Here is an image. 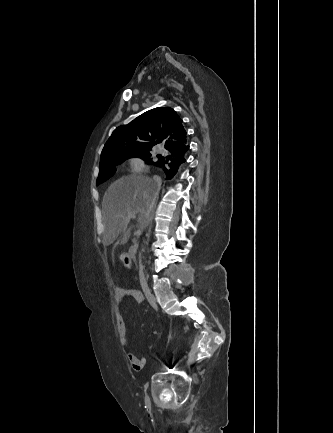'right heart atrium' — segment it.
Instances as JSON below:
<instances>
[{
	"label": "right heart atrium",
	"instance_id": "obj_1",
	"mask_svg": "<svg viewBox=\"0 0 333 433\" xmlns=\"http://www.w3.org/2000/svg\"><path fill=\"white\" fill-rule=\"evenodd\" d=\"M127 169L131 174H142L147 171V164L142 157L132 156L128 159Z\"/></svg>",
	"mask_w": 333,
	"mask_h": 433
}]
</instances>
